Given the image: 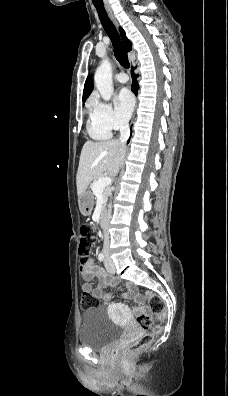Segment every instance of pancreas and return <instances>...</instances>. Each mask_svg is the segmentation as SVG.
<instances>
[{
	"label": "pancreas",
	"instance_id": "obj_1",
	"mask_svg": "<svg viewBox=\"0 0 228 396\" xmlns=\"http://www.w3.org/2000/svg\"><path fill=\"white\" fill-rule=\"evenodd\" d=\"M103 176L101 175L99 178H102ZM98 178V179H99ZM98 179L93 180V182L90 184V188L93 190V187L95 185V183L98 181ZM103 197L105 200H107L108 195L110 194V189L109 188H104L102 191Z\"/></svg>",
	"mask_w": 228,
	"mask_h": 396
}]
</instances>
